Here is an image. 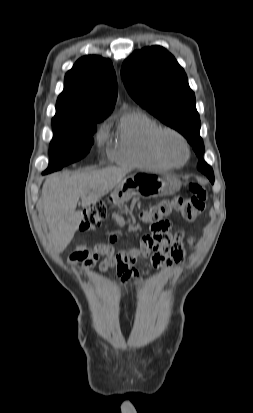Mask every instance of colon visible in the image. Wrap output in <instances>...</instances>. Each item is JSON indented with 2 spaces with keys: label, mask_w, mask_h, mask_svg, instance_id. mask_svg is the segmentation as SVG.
<instances>
[{
  "label": "colon",
  "mask_w": 253,
  "mask_h": 413,
  "mask_svg": "<svg viewBox=\"0 0 253 413\" xmlns=\"http://www.w3.org/2000/svg\"><path fill=\"white\" fill-rule=\"evenodd\" d=\"M190 190V197L163 200L159 204L141 211V219L152 224V227H159L164 219L173 213H178L188 221L196 220L205 210L208 195L206 189L198 183L190 184ZM107 214L108 208L104 203H95L84 211L80 229L83 231L94 229L106 218Z\"/></svg>",
  "instance_id": "obj_1"
}]
</instances>
